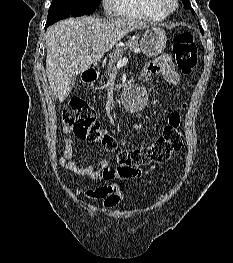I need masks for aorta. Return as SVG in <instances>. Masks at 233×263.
Instances as JSON below:
<instances>
[{"mask_svg":"<svg viewBox=\"0 0 233 263\" xmlns=\"http://www.w3.org/2000/svg\"><path fill=\"white\" fill-rule=\"evenodd\" d=\"M125 104L126 107L132 112L139 111L143 108L144 97L139 87L132 86L128 89L125 96Z\"/></svg>","mask_w":233,"mask_h":263,"instance_id":"1","label":"aorta"}]
</instances>
